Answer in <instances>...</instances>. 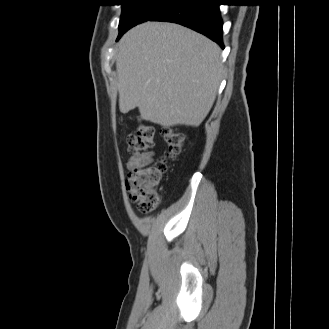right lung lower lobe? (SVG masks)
<instances>
[{
	"instance_id": "98d812e1",
	"label": "right lung lower lobe",
	"mask_w": 329,
	"mask_h": 329,
	"mask_svg": "<svg viewBox=\"0 0 329 329\" xmlns=\"http://www.w3.org/2000/svg\"><path fill=\"white\" fill-rule=\"evenodd\" d=\"M220 0H175L166 5L150 21H166L191 28L222 48V25L219 12Z\"/></svg>"
}]
</instances>
